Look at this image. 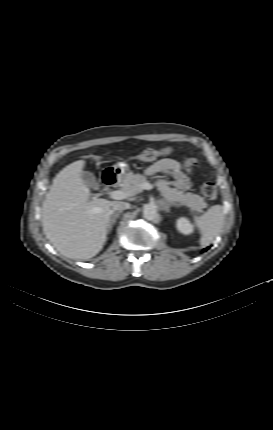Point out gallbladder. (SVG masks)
I'll use <instances>...</instances> for the list:
<instances>
[{
	"label": "gallbladder",
	"mask_w": 273,
	"mask_h": 430,
	"mask_svg": "<svg viewBox=\"0 0 273 430\" xmlns=\"http://www.w3.org/2000/svg\"><path fill=\"white\" fill-rule=\"evenodd\" d=\"M82 179H83L84 183L86 184V186H88L90 188L96 189L99 186L97 181H96L94 174L91 172L83 171L82 172Z\"/></svg>",
	"instance_id": "obj_1"
}]
</instances>
